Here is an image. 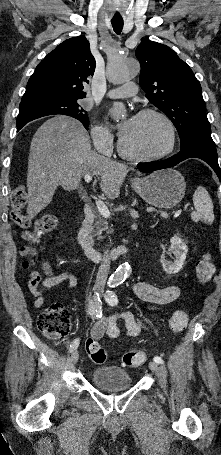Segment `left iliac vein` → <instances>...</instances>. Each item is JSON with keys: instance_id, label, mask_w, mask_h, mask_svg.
<instances>
[{"instance_id": "left-iliac-vein-1", "label": "left iliac vein", "mask_w": 221, "mask_h": 455, "mask_svg": "<svg viewBox=\"0 0 221 455\" xmlns=\"http://www.w3.org/2000/svg\"><path fill=\"white\" fill-rule=\"evenodd\" d=\"M149 368H150L152 371L156 372V371L159 370V365H158V363H156V362H150V363H149Z\"/></svg>"}]
</instances>
